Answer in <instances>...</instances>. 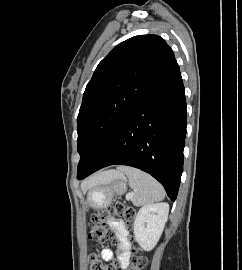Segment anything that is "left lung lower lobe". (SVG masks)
<instances>
[{
	"label": "left lung lower lobe",
	"mask_w": 242,
	"mask_h": 270,
	"mask_svg": "<svg viewBox=\"0 0 242 270\" xmlns=\"http://www.w3.org/2000/svg\"><path fill=\"white\" fill-rule=\"evenodd\" d=\"M186 115L183 81L175 61L77 178L109 165H128L156 178L175 201L183 172Z\"/></svg>",
	"instance_id": "obj_1"
}]
</instances>
